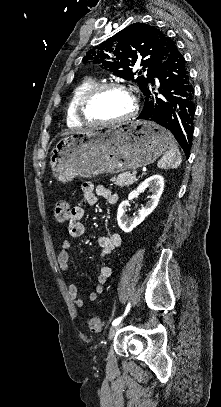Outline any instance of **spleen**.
<instances>
[{"label":"spleen","instance_id":"3e777b00","mask_svg":"<svg viewBox=\"0 0 221 407\" xmlns=\"http://www.w3.org/2000/svg\"><path fill=\"white\" fill-rule=\"evenodd\" d=\"M182 163V156L175 141L171 139L168 150L158 161L157 166L161 169H175Z\"/></svg>","mask_w":221,"mask_h":407}]
</instances>
